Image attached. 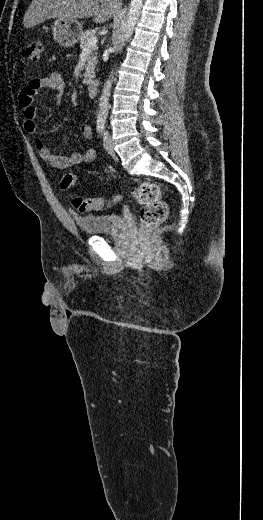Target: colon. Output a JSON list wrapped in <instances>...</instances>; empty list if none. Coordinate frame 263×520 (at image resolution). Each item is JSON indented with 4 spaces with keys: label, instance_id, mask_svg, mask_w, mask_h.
<instances>
[{
    "label": "colon",
    "instance_id": "obj_1",
    "mask_svg": "<svg viewBox=\"0 0 263 520\" xmlns=\"http://www.w3.org/2000/svg\"><path fill=\"white\" fill-rule=\"evenodd\" d=\"M42 43L40 40H32L23 50L24 56L30 61L36 62L40 58ZM76 185V176L74 173H65L61 179L60 186L63 190H71ZM132 195L137 202L142 205L140 211V224L143 228H149L162 221L168 215L167 203L163 200L160 188L153 182H141L132 190ZM121 195H115L110 198H91L74 196L72 198L73 206L80 212H89L102 210L121 200Z\"/></svg>",
    "mask_w": 263,
    "mask_h": 520
}]
</instances>
